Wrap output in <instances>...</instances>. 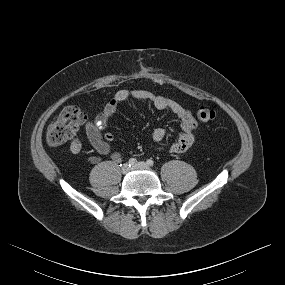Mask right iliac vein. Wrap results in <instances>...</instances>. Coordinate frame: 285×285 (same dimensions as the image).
<instances>
[{
    "label": "right iliac vein",
    "instance_id": "right-iliac-vein-1",
    "mask_svg": "<svg viewBox=\"0 0 285 285\" xmlns=\"http://www.w3.org/2000/svg\"><path fill=\"white\" fill-rule=\"evenodd\" d=\"M130 169H131V168L128 166V164H124V165L122 166L121 171H122L123 174H127V173L130 171Z\"/></svg>",
    "mask_w": 285,
    "mask_h": 285
}]
</instances>
